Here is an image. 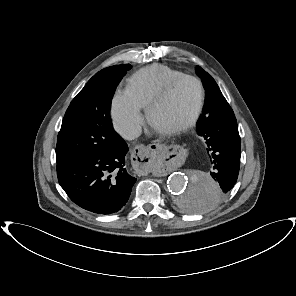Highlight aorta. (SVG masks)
<instances>
[{
    "mask_svg": "<svg viewBox=\"0 0 296 296\" xmlns=\"http://www.w3.org/2000/svg\"><path fill=\"white\" fill-rule=\"evenodd\" d=\"M167 187L175 205L193 214L209 212L219 199V185L206 173H173L168 179Z\"/></svg>",
    "mask_w": 296,
    "mask_h": 296,
    "instance_id": "1",
    "label": "aorta"
}]
</instances>
